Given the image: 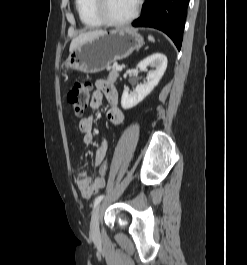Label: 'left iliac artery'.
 <instances>
[{
    "label": "left iliac artery",
    "instance_id": "left-iliac-artery-1",
    "mask_svg": "<svg viewBox=\"0 0 247 265\" xmlns=\"http://www.w3.org/2000/svg\"><path fill=\"white\" fill-rule=\"evenodd\" d=\"M104 195L98 196L94 201V208L103 200Z\"/></svg>",
    "mask_w": 247,
    "mask_h": 265
}]
</instances>
